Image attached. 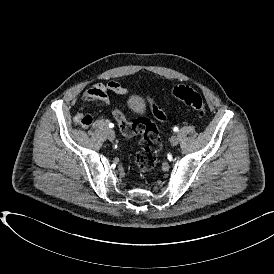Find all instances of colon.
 <instances>
[{"mask_svg":"<svg viewBox=\"0 0 274 274\" xmlns=\"http://www.w3.org/2000/svg\"><path fill=\"white\" fill-rule=\"evenodd\" d=\"M172 95L178 101L192 107L200 116L205 115L206 109L203 99L191 86L177 85L173 89ZM149 109L153 117L158 119V122H164L167 119L164 110L153 100L149 101ZM112 114L125 137L142 136L140 150L134 157V168L141 175L148 174L154 169L157 163L158 151L161 148V140L156 124H153L151 118L146 116H140L133 121H129L118 108H115Z\"/></svg>","mask_w":274,"mask_h":274,"instance_id":"colon-1","label":"colon"}]
</instances>
